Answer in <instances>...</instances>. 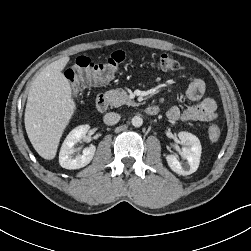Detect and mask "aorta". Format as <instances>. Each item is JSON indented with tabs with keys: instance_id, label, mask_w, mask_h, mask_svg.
Masks as SVG:
<instances>
[{
	"instance_id": "aorta-1",
	"label": "aorta",
	"mask_w": 251,
	"mask_h": 251,
	"mask_svg": "<svg viewBox=\"0 0 251 251\" xmlns=\"http://www.w3.org/2000/svg\"><path fill=\"white\" fill-rule=\"evenodd\" d=\"M134 127H141L143 124V119L140 116H134L131 120Z\"/></svg>"
}]
</instances>
